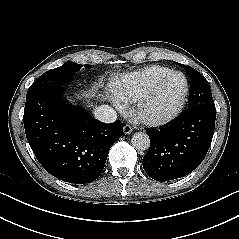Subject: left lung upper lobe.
Masks as SVG:
<instances>
[{"label": "left lung upper lobe", "mask_w": 239, "mask_h": 239, "mask_svg": "<svg viewBox=\"0 0 239 239\" xmlns=\"http://www.w3.org/2000/svg\"><path fill=\"white\" fill-rule=\"evenodd\" d=\"M176 64L183 67L191 79L188 107L190 108L197 104L213 102L210 88L201 74L190 66L182 65L177 62Z\"/></svg>", "instance_id": "left-lung-upper-lobe-1"}]
</instances>
